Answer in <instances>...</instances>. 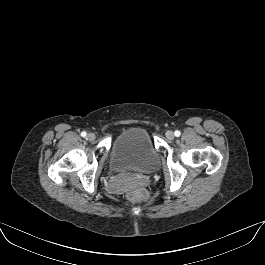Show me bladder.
I'll use <instances>...</instances> for the list:
<instances>
[{
  "instance_id": "obj_1",
  "label": "bladder",
  "mask_w": 265,
  "mask_h": 265,
  "mask_svg": "<svg viewBox=\"0 0 265 265\" xmlns=\"http://www.w3.org/2000/svg\"><path fill=\"white\" fill-rule=\"evenodd\" d=\"M108 165L113 173L153 172L160 166V157L144 128L129 127L114 139Z\"/></svg>"
}]
</instances>
